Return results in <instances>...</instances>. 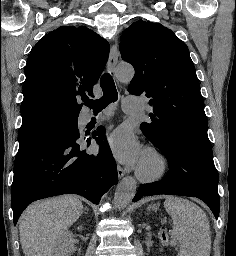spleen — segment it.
Masks as SVG:
<instances>
[{
	"mask_svg": "<svg viewBox=\"0 0 236 256\" xmlns=\"http://www.w3.org/2000/svg\"><path fill=\"white\" fill-rule=\"evenodd\" d=\"M164 208L173 220L179 256H210L211 232L203 210L183 198H167Z\"/></svg>",
	"mask_w": 236,
	"mask_h": 256,
	"instance_id": "1",
	"label": "spleen"
}]
</instances>
